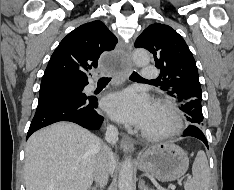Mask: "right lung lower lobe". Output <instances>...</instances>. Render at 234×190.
I'll use <instances>...</instances> for the list:
<instances>
[{
	"mask_svg": "<svg viewBox=\"0 0 234 190\" xmlns=\"http://www.w3.org/2000/svg\"><path fill=\"white\" fill-rule=\"evenodd\" d=\"M69 82L82 91L88 84V77ZM97 105V98L86 96L75 88L55 89L39 99L27 139L38 129L59 121L74 122L90 130L99 129L104 118L97 113Z\"/></svg>",
	"mask_w": 234,
	"mask_h": 190,
	"instance_id": "98d812e1",
	"label": "right lung lower lobe"
}]
</instances>
